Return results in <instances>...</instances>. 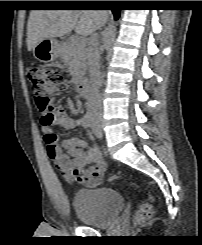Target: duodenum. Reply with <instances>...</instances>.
<instances>
[{
    "label": "duodenum",
    "mask_w": 202,
    "mask_h": 245,
    "mask_svg": "<svg viewBox=\"0 0 202 245\" xmlns=\"http://www.w3.org/2000/svg\"><path fill=\"white\" fill-rule=\"evenodd\" d=\"M76 87L81 97L86 98L88 96L89 86L86 78L78 79L76 82Z\"/></svg>",
    "instance_id": "duodenum-1"
}]
</instances>
